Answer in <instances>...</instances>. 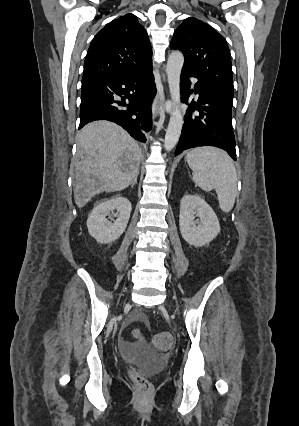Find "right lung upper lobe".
<instances>
[{"label":"right lung upper lobe","mask_w":299,"mask_h":426,"mask_svg":"<svg viewBox=\"0 0 299 426\" xmlns=\"http://www.w3.org/2000/svg\"><path fill=\"white\" fill-rule=\"evenodd\" d=\"M152 66L148 34L133 14L111 21L93 39L82 82L106 80Z\"/></svg>","instance_id":"1"}]
</instances>
